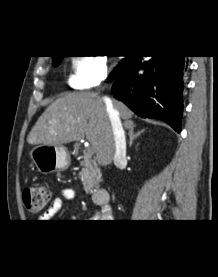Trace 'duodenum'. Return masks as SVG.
<instances>
[{
    "instance_id": "410a0bca",
    "label": "duodenum",
    "mask_w": 218,
    "mask_h": 277,
    "mask_svg": "<svg viewBox=\"0 0 218 277\" xmlns=\"http://www.w3.org/2000/svg\"><path fill=\"white\" fill-rule=\"evenodd\" d=\"M93 199L96 204L106 206L110 202V192L107 189H98L94 192Z\"/></svg>"
}]
</instances>
